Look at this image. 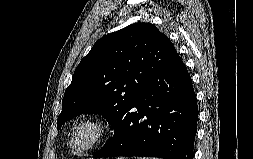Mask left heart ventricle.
<instances>
[{
	"label": "left heart ventricle",
	"instance_id": "b2bd125f",
	"mask_svg": "<svg viewBox=\"0 0 253 159\" xmlns=\"http://www.w3.org/2000/svg\"><path fill=\"white\" fill-rule=\"evenodd\" d=\"M96 127L94 125L88 124L82 126L75 138H74V145L78 148L85 146L95 135Z\"/></svg>",
	"mask_w": 253,
	"mask_h": 159
}]
</instances>
